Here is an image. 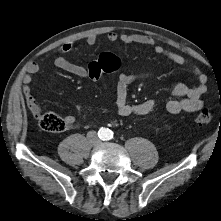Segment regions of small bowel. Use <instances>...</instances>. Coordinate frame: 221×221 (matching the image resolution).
Wrapping results in <instances>:
<instances>
[{
    "mask_svg": "<svg viewBox=\"0 0 221 221\" xmlns=\"http://www.w3.org/2000/svg\"><path fill=\"white\" fill-rule=\"evenodd\" d=\"M107 40L111 43H116L117 41H122L127 44H139L151 47L156 54L166 57L173 64L177 66L186 67L188 66L185 58L177 52L170 51L157 44L154 39L143 34H123L119 35L116 32H109L107 34ZM97 42V37L95 35H90L86 38V43L88 45H94ZM74 47L73 42H66L59 48V55L55 58L54 64L57 68L75 75L80 78H90L89 75V65L83 66L74 63L64 57L65 54L69 53ZM27 74L23 78V94L26 103L33 114L39 109L32 91L29 85L32 83V75L39 72V65L37 63L31 62L27 64ZM190 70L197 78V84L195 86H188L186 84H177L172 94L175 97L170 100L166 108L172 114H178L181 112H195L202 108L203 101L201 97L207 91V76L203 74L197 67L190 66ZM139 75L134 74H121L118 78L116 85V106L118 113L121 116L129 117L133 115L142 116L150 113L155 108V101L148 99L137 104H131L128 101V88L129 85L137 80ZM64 120L66 121L68 127L75 125V118L71 115H65Z\"/></svg>",
    "mask_w": 221,
    "mask_h": 221,
    "instance_id": "obj_1",
    "label": "small bowel"
}]
</instances>
